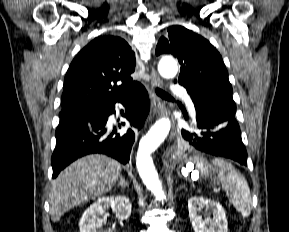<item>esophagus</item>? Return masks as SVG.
Masks as SVG:
<instances>
[{
  "mask_svg": "<svg viewBox=\"0 0 289 232\" xmlns=\"http://www.w3.org/2000/svg\"><path fill=\"white\" fill-rule=\"evenodd\" d=\"M150 78H151V85L153 87H161L162 86V80L153 68L151 69ZM153 110H154V112L158 113L161 116H163L167 113V109H166L165 105L159 99V97H157L156 95L154 97Z\"/></svg>",
  "mask_w": 289,
  "mask_h": 232,
  "instance_id": "34e87169",
  "label": "esophagus"
}]
</instances>
